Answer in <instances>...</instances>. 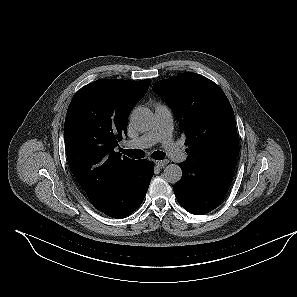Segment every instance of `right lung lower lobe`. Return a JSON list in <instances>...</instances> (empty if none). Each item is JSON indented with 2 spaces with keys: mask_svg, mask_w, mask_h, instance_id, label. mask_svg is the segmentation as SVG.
<instances>
[{
  "mask_svg": "<svg viewBox=\"0 0 297 297\" xmlns=\"http://www.w3.org/2000/svg\"><path fill=\"white\" fill-rule=\"evenodd\" d=\"M154 165L152 162L138 160L137 170L114 202L102 210L113 218H123L133 213L143 202L153 177Z\"/></svg>",
  "mask_w": 297,
  "mask_h": 297,
  "instance_id": "right-lung-lower-lobe-1",
  "label": "right lung lower lobe"
}]
</instances>
